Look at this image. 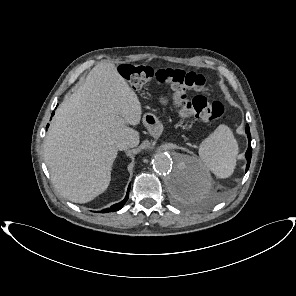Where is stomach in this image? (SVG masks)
Masks as SVG:
<instances>
[{"mask_svg":"<svg viewBox=\"0 0 296 296\" xmlns=\"http://www.w3.org/2000/svg\"><path fill=\"white\" fill-rule=\"evenodd\" d=\"M143 122L156 139H163L165 137V130L161 128V124L155 115L150 113L145 114Z\"/></svg>","mask_w":296,"mask_h":296,"instance_id":"obj_1","label":"stomach"}]
</instances>
